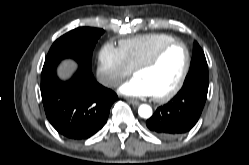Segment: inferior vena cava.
Here are the masks:
<instances>
[{
    "instance_id": "602c4592",
    "label": "inferior vena cava",
    "mask_w": 249,
    "mask_h": 165,
    "mask_svg": "<svg viewBox=\"0 0 249 165\" xmlns=\"http://www.w3.org/2000/svg\"><path fill=\"white\" fill-rule=\"evenodd\" d=\"M120 84V81L119 80H116V79H110L107 81V85L109 86H118Z\"/></svg>"
}]
</instances>
